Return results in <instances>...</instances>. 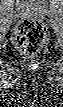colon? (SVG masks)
Listing matches in <instances>:
<instances>
[{
	"label": "colon",
	"instance_id": "5ec220e1",
	"mask_svg": "<svg viewBox=\"0 0 63 107\" xmlns=\"http://www.w3.org/2000/svg\"><path fill=\"white\" fill-rule=\"evenodd\" d=\"M47 30L41 21L26 20L20 23L13 35L15 45L27 54H35L43 46Z\"/></svg>",
	"mask_w": 63,
	"mask_h": 107
}]
</instances>
